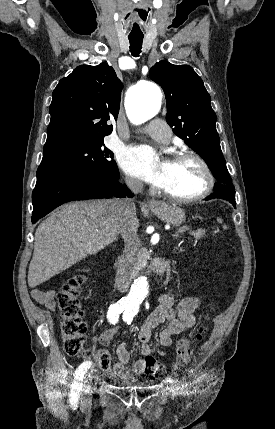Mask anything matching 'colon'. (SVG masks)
Masks as SVG:
<instances>
[{"mask_svg": "<svg viewBox=\"0 0 275 429\" xmlns=\"http://www.w3.org/2000/svg\"><path fill=\"white\" fill-rule=\"evenodd\" d=\"M86 281L83 274L75 275L70 278L57 293V304L61 315V335L65 352L73 357H79L85 345L86 324L82 320V310L79 304L78 296L82 286ZM214 307H211L213 309ZM208 319V317L206 318ZM205 328L201 327L197 332L189 337L182 338L178 341L177 365L186 364L189 359L190 346L201 340ZM96 361L100 368L108 369L111 363L108 351L101 349L95 355ZM159 368V364L154 358L148 359L146 364V373L153 374Z\"/></svg>", "mask_w": 275, "mask_h": 429, "instance_id": "5ec220e1", "label": "colon"}]
</instances>
